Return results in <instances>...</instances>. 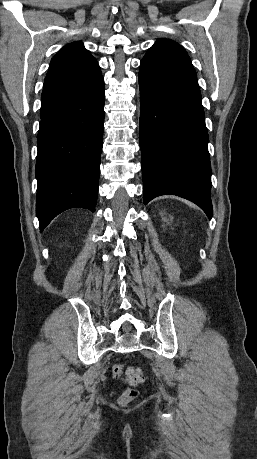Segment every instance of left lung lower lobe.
<instances>
[{
  "mask_svg": "<svg viewBox=\"0 0 257 459\" xmlns=\"http://www.w3.org/2000/svg\"><path fill=\"white\" fill-rule=\"evenodd\" d=\"M143 198L174 194L212 217L208 133L188 55L150 52L139 72Z\"/></svg>",
  "mask_w": 257,
  "mask_h": 459,
  "instance_id": "left-lung-lower-lobe-1",
  "label": "left lung lower lobe"
}]
</instances>
